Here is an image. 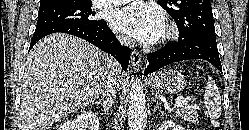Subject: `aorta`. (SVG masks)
<instances>
[{
	"label": "aorta",
	"mask_w": 249,
	"mask_h": 130,
	"mask_svg": "<svg viewBox=\"0 0 249 130\" xmlns=\"http://www.w3.org/2000/svg\"><path fill=\"white\" fill-rule=\"evenodd\" d=\"M146 114V101L140 79L133 81L129 94L128 126L129 130H143Z\"/></svg>",
	"instance_id": "762f6f07"
}]
</instances>
